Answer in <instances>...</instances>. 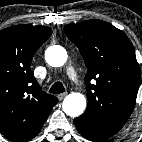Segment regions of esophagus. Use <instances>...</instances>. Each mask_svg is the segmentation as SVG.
Returning a JSON list of instances; mask_svg holds the SVG:
<instances>
[{
	"label": "esophagus",
	"instance_id": "esophagus-1",
	"mask_svg": "<svg viewBox=\"0 0 142 142\" xmlns=\"http://www.w3.org/2000/svg\"><path fill=\"white\" fill-rule=\"evenodd\" d=\"M66 95H67V93H61L57 96V98L61 101L65 98Z\"/></svg>",
	"mask_w": 142,
	"mask_h": 142
}]
</instances>
